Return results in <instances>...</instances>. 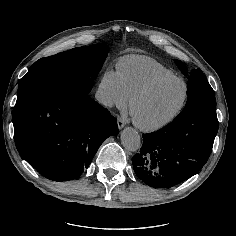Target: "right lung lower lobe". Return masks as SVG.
I'll return each instance as SVG.
<instances>
[{
	"mask_svg": "<svg viewBox=\"0 0 236 236\" xmlns=\"http://www.w3.org/2000/svg\"><path fill=\"white\" fill-rule=\"evenodd\" d=\"M92 87L77 80L33 90L13 109L18 152L54 181L78 178L102 142L118 134L117 120L92 100Z\"/></svg>",
	"mask_w": 236,
	"mask_h": 236,
	"instance_id": "98d812e1",
	"label": "right lung lower lobe"
}]
</instances>
